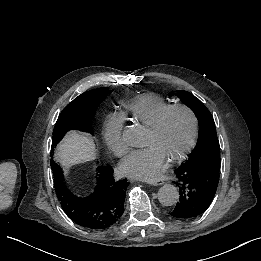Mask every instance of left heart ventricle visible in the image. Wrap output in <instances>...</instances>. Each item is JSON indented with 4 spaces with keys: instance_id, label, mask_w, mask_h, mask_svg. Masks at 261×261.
Segmentation results:
<instances>
[{
    "instance_id": "1",
    "label": "left heart ventricle",
    "mask_w": 261,
    "mask_h": 261,
    "mask_svg": "<svg viewBox=\"0 0 261 261\" xmlns=\"http://www.w3.org/2000/svg\"><path fill=\"white\" fill-rule=\"evenodd\" d=\"M144 125V137L141 145L154 144L166 160L183 149L192 130L190 116L181 110L167 113L156 129Z\"/></svg>"
}]
</instances>
